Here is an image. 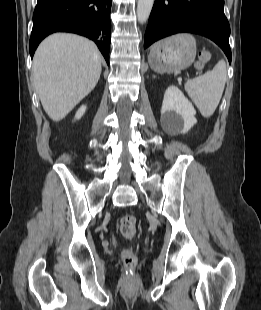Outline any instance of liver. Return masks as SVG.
Listing matches in <instances>:
<instances>
[{
  "label": "liver",
  "instance_id": "6515ba94",
  "mask_svg": "<svg viewBox=\"0 0 261 310\" xmlns=\"http://www.w3.org/2000/svg\"><path fill=\"white\" fill-rule=\"evenodd\" d=\"M100 74L98 48L74 34L50 35L41 42L33 60L36 92L55 122L65 118L94 89Z\"/></svg>",
  "mask_w": 261,
  "mask_h": 310
}]
</instances>
